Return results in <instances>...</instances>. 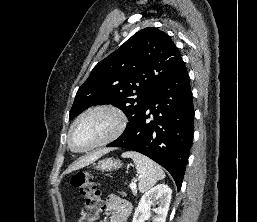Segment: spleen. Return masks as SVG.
<instances>
[{"label": "spleen", "instance_id": "spleen-1", "mask_svg": "<svg viewBox=\"0 0 257 222\" xmlns=\"http://www.w3.org/2000/svg\"><path fill=\"white\" fill-rule=\"evenodd\" d=\"M122 157L133 159L139 175V191L142 193L165 177L164 171L157 163L140 153L127 151L122 154Z\"/></svg>", "mask_w": 257, "mask_h": 222}]
</instances>
